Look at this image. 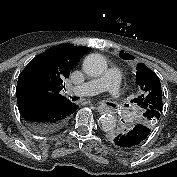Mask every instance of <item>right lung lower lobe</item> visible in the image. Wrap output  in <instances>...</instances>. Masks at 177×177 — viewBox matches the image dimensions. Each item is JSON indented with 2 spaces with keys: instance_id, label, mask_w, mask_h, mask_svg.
<instances>
[{
  "instance_id": "1",
  "label": "right lung lower lobe",
  "mask_w": 177,
  "mask_h": 177,
  "mask_svg": "<svg viewBox=\"0 0 177 177\" xmlns=\"http://www.w3.org/2000/svg\"><path fill=\"white\" fill-rule=\"evenodd\" d=\"M27 125L37 133H49L62 127L78 106L74 103H50L45 100L17 99Z\"/></svg>"
}]
</instances>
